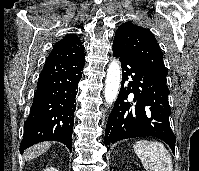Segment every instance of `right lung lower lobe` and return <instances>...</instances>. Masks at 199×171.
Listing matches in <instances>:
<instances>
[{
    "mask_svg": "<svg viewBox=\"0 0 199 171\" xmlns=\"http://www.w3.org/2000/svg\"><path fill=\"white\" fill-rule=\"evenodd\" d=\"M84 64L85 55L73 60H46L24 122L21 153L42 141H58L72 150L75 98Z\"/></svg>",
    "mask_w": 199,
    "mask_h": 171,
    "instance_id": "1",
    "label": "right lung lower lobe"
}]
</instances>
